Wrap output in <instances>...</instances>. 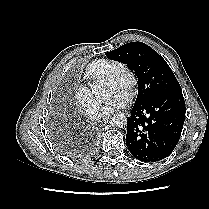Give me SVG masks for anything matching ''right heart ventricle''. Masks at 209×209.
I'll return each instance as SVG.
<instances>
[{"label":"right heart ventricle","instance_id":"right-heart-ventricle-1","mask_svg":"<svg viewBox=\"0 0 209 209\" xmlns=\"http://www.w3.org/2000/svg\"><path fill=\"white\" fill-rule=\"evenodd\" d=\"M120 63L117 60L109 58H101L92 61L86 67L83 78L89 84H95L107 78V76L117 67Z\"/></svg>","mask_w":209,"mask_h":209}]
</instances>
